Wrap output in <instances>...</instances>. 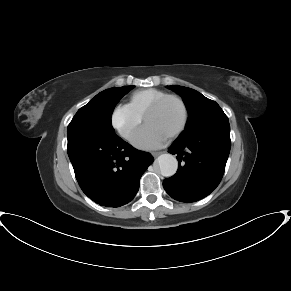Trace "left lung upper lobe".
Masks as SVG:
<instances>
[{"instance_id": "1", "label": "left lung upper lobe", "mask_w": 291, "mask_h": 291, "mask_svg": "<svg viewBox=\"0 0 291 291\" xmlns=\"http://www.w3.org/2000/svg\"><path fill=\"white\" fill-rule=\"evenodd\" d=\"M167 87L181 95L188 110L185 130L178 139L187 138L215 125L229 123L228 117L220 106L198 91L183 86Z\"/></svg>"}]
</instances>
